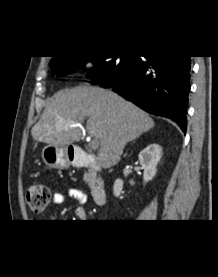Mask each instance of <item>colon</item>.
<instances>
[{
	"label": "colon",
	"mask_w": 218,
	"mask_h": 277,
	"mask_svg": "<svg viewBox=\"0 0 218 277\" xmlns=\"http://www.w3.org/2000/svg\"><path fill=\"white\" fill-rule=\"evenodd\" d=\"M51 197L49 187L43 184L31 185L26 191L27 205L31 211L40 213L45 210Z\"/></svg>",
	"instance_id": "5ec220e1"
}]
</instances>
